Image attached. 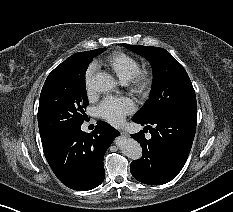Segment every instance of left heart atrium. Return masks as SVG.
I'll list each match as a JSON object with an SVG mask.
<instances>
[{"label":"left heart atrium","mask_w":233,"mask_h":212,"mask_svg":"<svg viewBox=\"0 0 233 212\" xmlns=\"http://www.w3.org/2000/svg\"><path fill=\"white\" fill-rule=\"evenodd\" d=\"M134 110V102L127 97H107L98 106V114L113 125L122 124L125 117Z\"/></svg>","instance_id":"39dd6f15"}]
</instances>
